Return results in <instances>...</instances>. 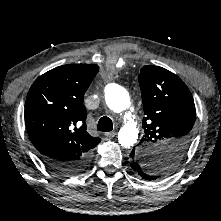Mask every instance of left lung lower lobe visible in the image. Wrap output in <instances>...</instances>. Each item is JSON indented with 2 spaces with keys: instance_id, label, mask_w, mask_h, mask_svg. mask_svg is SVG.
<instances>
[{
  "instance_id": "0a47b994",
  "label": "left lung lower lobe",
  "mask_w": 221,
  "mask_h": 221,
  "mask_svg": "<svg viewBox=\"0 0 221 221\" xmlns=\"http://www.w3.org/2000/svg\"><path fill=\"white\" fill-rule=\"evenodd\" d=\"M130 157L132 158L131 168L134 170L135 174L138 175L139 177L147 180V178L150 176L145 171L146 170L145 165L140 163L139 158H138L137 154L135 153V149L132 150Z\"/></svg>"
}]
</instances>
